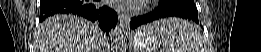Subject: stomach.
Here are the masks:
<instances>
[{"label": "stomach", "instance_id": "obj_1", "mask_svg": "<svg viewBox=\"0 0 261 52\" xmlns=\"http://www.w3.org/2000/svg\"><path fill=\"white\" fill-rule=\"evenodd\" d=\"M129 41L134 52H156L161 45L158 34L146 27L133 32Z\"/></svg>", "mask_w": 261, "mask_h": 52}]
</instances>
